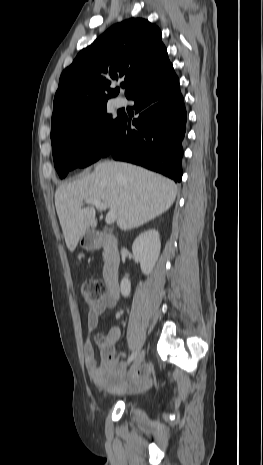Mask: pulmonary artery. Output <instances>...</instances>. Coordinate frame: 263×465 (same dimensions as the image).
Returning a JSON list of instances; mask_svg holds the SVG:
<instances>
[{
  "label": "pulmonary artery",
  "mask_w": 263,
  "mask_h": 465,
  "mask_svg": "<svg viewBox=\"0 0 263 465\" xmlns=\"http://www.w3.org/2000/svg\"><path fill=\"white\" fill-rule=\"evenodd\" d=\"M125 103H126L125 100L123 98H121V97H117L115 99V105L117 107H123L125 105Z\"/></svg>",
  "instance_id": "1"
}]
</instances>
